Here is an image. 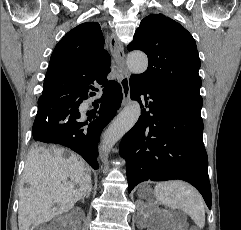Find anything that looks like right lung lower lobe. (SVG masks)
I'll return each mask as SVG.
<instances>
[{
  "label": "right lung lower lobe",
  "mask_w": 241,
  "mask_h": 230,
  "mask_svg": "<svg viewBox=\"0 0 241 230\" xmlns=\"http://www.w3.org/2000/svg\"><path fill=\"white\" fill-rule=\"evenodd\" d=\"M87 98L88 96L74 103L64 102L55 106L49 102H38L33 138L45 143L66 146L81 155L92 168L98 169L100 134L121 105L122 88L117 82L104 88L98 115L83 119L78 108ZM57 119L64 120L57 124L51 123Z\"/></svg>",
  "instance_id": "obj_1"
}]
</instances>
